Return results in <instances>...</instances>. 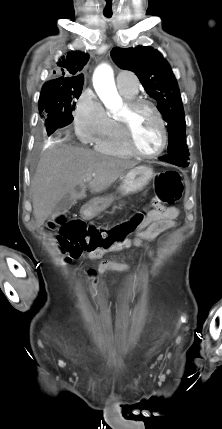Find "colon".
<instances>
[{"label":"colon","mask_w":222,"mask_h":429,"mask_svg":"<svg viewBox=\"0 0 222 429\" xmlns=\"http://www.w3.org/2000/svg\"><path fill=\"white\" fill-rule=\"evenodd\" d=\"M159 200L167 204L179 201L183 194L181 176L176 171L159 173L156 178ZM142 216L135 215L132 219L111 227L87 225L78 219H66L60 216L58 242L68 259H76L83 252L107 250L123 243L139 226Z\"/></svg>","instance_id":"colon-1"}]
</instances>
